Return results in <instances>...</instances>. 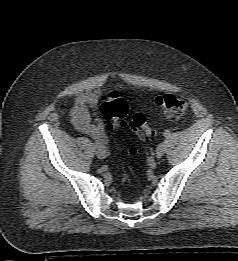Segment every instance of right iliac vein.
Listing matches in <instances>:
<instances>
[{"label":"right iliac vein","mask_w":238,"mask_h":261,"mask_svg":"<svg viewBox=\"0 0 238 261\" xmlns=\"http://www.w3.org/2000/svg\"><path fill=\"white\" fill-rule=\"evenodd\" d=\"M99 159H105L106 158V151L104 149H98L96 152Z\"/></svg>","instance_id":"obj_1"}]
</instances>
